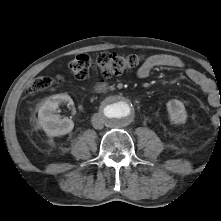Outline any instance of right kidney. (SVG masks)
<instances>
[{"instance_id":"ca27d5eb","label":"right kidney","mask_w":221,"mask_h":221,"mask_svg":"<svg viewBox=\"0 0 221 221\" xmlns=\"http://www.w3.org/2000/svg\"><path fill=\"white\" fill-rule=\"evenodd\" d=\"M61 103H67L70 106L74 104L69 95L57 94L50 96L39 108V125L48 136L56 137L66 135L74 128V123L71 119L67 117L61 119L59 115L54 114Z\"/></svg>"}]
</instances>
